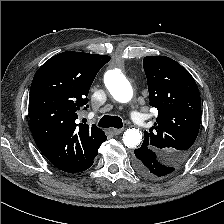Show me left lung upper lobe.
Returning <instances> with one entry per match:
<instances>
[{"label":"left lung upper lobe","mask_w":224,"mask_h":224,"mask_svg":"<svg viewBox=\"0 0 224 224\" xmlns=\"http://www.w3.org/2000/svg\"><path fill=\"white\" fill-rule=\"evenodd\" d=\"M147 77L149 101L157 108L156 123L144 131L146 146L172 168L170 177L185 162L192 151L201 122V99L191 74L179 63L166 56L143 59Z\"/></svg>","instance_id":"5c2ea615"}]
</instances>
